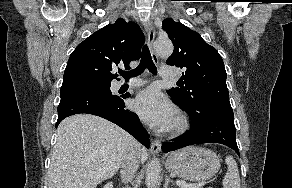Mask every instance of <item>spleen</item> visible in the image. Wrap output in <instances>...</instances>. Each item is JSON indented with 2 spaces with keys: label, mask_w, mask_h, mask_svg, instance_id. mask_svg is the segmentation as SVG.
<instances>
[{
  "label": "spleen",
  "mask_w": 292,
  "mask_h": 188,
  "mask_svg": "<svg viewBox=\"0 0 292 188\" xmlns=\"http://www.w3.org/2000/svg\"><path fill=\"white\" fill-rule=\"evenodd\" d=\"M225 161L228 170L222 181L223 188H240V176L236 161L232 156H227Z\"/></svg>",
  "instance_id": "spleen-1"
}]
</instances>
